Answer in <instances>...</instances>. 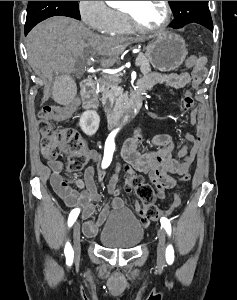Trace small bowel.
Instances as JSON below:
<instances>
[{"instance_id":"small-bowel-1","label":"small bowel","mask_w":237,"mask_h":300,"mask_svg":"<svg viewBox=\"0 0 237 300\" xmlns=\"http://www.w3.org/2000/svg\"><path fill=\"white\" fill-rule=\"evenodd\" d=\"M207 67L206 59L194 66L192 74L189 73H171L160 74L150 73L144 76L137 84V89L145 91L153 88L157 84H165L173 88H181L190 85L196 89L206 78ZM78 98L63 106H54L52 108L51 119L60 121L69 118L79 107ZM183 111L189 113L191 125L196 128V134L188 133L185 135L184 144L178 154H174V142L170 135H156L151 140V146L155 149H148L144 145L143 127L139 126L132 137L128 138L124 145L123 157L127 164L133 169L147 173L151 182L156 187L158 198L165 196V190L175 186L173 175H182L187 173L197 154L198 147L202 140L205 130L204 109L194 106V98L190 90H187L183 99ZM193 147L188 151V146ZM64 154L71 156L72 152L65 150ZM88 155L93 161L85 171L83 178H65L62 175L64 165L60 160L49 161L51 170L49 181L57 193L69 208L79 209L81 216L85 220L84 232L88 236H93L99 227L106 220L111 210H120L124 206L120 190L117 186L118 172L111 177L108 184V191L111 199L106 202L100 212L97 214L96 203L101 201V195L97 190V181H102L105 176V170L100 169L96 175V164L101 161V155L96 150H89ZM103 161V160H102ZM102 166V164H101ZM103 168V167H102ZM179 205V200L175 199L171 208L163 214H170ZM135 209L141 217L144 226H148L150 219L146 217L141 205L136 204Z\"/></svg>"}]
</instances>
